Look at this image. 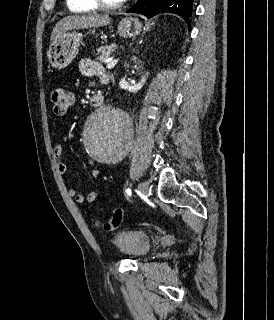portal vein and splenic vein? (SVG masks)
Here are the masks:
<instances>
[{
    "mask_svg": "<svg viewBox=\"0 0 274 320\" xmlns=\"http://www.w3.org/2000/svg\"><path fill=\"white\" fill-rule=\"evenodd\" d=\"M106 64V68H108V70H111V68H114V66L118 64V60H112V58H108V60H106Z\"/></svg>",
    "mask_w": 274,
    "mask_h": 320,
    "instance_id": "18ae733b",
    "label": "portal vein and splenic vein"
}]
</instances>
